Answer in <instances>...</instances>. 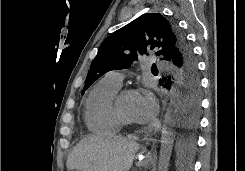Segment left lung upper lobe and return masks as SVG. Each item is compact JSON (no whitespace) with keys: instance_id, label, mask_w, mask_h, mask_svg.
<instances>
[{"instance_id":"left-lung-upper-lobe-1","label":"left lung upper lobe","mask_w":245,"mask_h":171,"mask_svg":"<svg viewBox=\"0 0 245 171\" xmlns=\"http://www.w3.org/2000/svg\"><path fill=\"white\" fill-rule=\"evenodd\" d=\"M150 50L166 61H172L178 53L186 55L188 52L184 61H195L184 35L173 21L160 13L143 14L102 43L91 63L81 94L105 73L129 68L138 55L147 54Z\"/></svg>"}]
</instances>
